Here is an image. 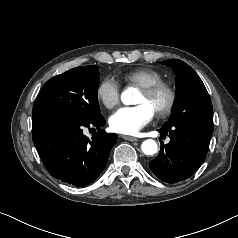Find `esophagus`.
I'll return each instance as SVG.
<instances>
[{"label": "esophagus", "instance_id": "1", "mask_svg": "<svg viewBox=\"0 0 238 238\" xmlns=\"http://www.w3.org/2000/svg\"><path fill=\"white\" fill-rule=\"evenodd\" d=\"M122 138L125 139V140H128V141H131V142H135V141H138V140H139V139L136 138V137L126 136V135H123Z\"/></svg>", "mask_w": 238, "mask_h": 238}]
</instances>
